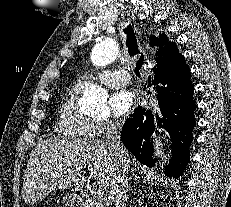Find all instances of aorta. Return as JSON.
I'll use <instances>...</instances> for the list:
<instances>
[{
	"label": "aorta",
	"instance_id": "762f6f07",
	"mask_svg": "<svg viewBox=\"0 0 231 207\" xmlns=\"http://www.w3.org/2000/svg\"><path fill=\"white\" fill-rule=\"evenodd\" d=\"M119 54V48L116 42L106 38L97 42L91 51V61L97 67H104L116 60ZM108 92L100 86L90 85L84 91L80 104L85 109L93 112H106ZM155 156L162 155L161 142L157 138L154 140Z\"/></svg>",
	"mask_w": 231,
	"mask_h": 207
}]
</instances>
